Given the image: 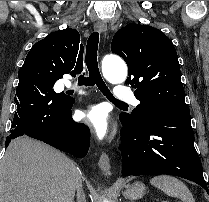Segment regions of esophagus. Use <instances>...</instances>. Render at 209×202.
<instances>
[{
  "instance_id": "esophagus-1",
  "label": "esophagus",
  "mask_w": 209,
  "mask_h": 202,
  "mask_svg": "<svg viewBox=\"0 0 209 202\" xmlns=\"http://www.w3.org/2000/svg\"><path fill=\"white\" fill-rule=\"evenodd\" d=\"M95 27H96V30L100 34L104 35L107 31V24L104 21L99 20L96 23ZM98 165L105 175L107 176L111 175V164H110V158L108 154L106 153L101 154L99 161H98Z\"/></svg>"
}]
</instances>
